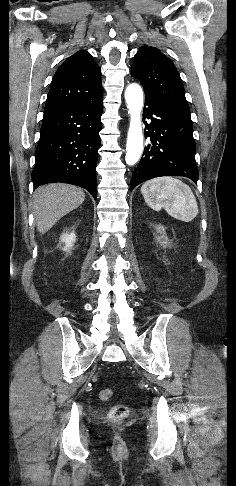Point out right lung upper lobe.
I'll use <instances>...</instances> for the list:
<instances>
[{"label": "right lung upper lobe", "instance_id": "right-lung-upper-lobe-1", "mask_svg": "<svg viewBox=\"0 0 236 486\" xmlns=\"http://www.w3.org/2000/svg\"><path fill=\"white\" fill-rule=\"evenodd\" d=\"M102 97L101 71L92 56L79 50L56 71L44 111Z\"/></svg>", "mask_w": 236, "mask_h": 486}]
</instances>
